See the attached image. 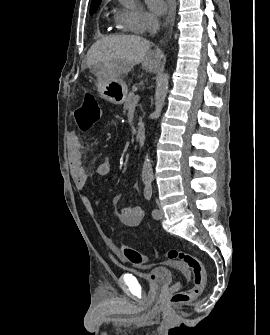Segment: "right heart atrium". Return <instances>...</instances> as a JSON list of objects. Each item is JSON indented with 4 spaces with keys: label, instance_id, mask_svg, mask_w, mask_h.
<instances>
[{
    "label": "right heart atrium",
    "instance_id": "1",
    "mask_svg": "<svg viewBox=\"0 0 270 335\" xmlns=\"http://www.w3.org/2000/svg\"><path fill=\"white\" fill-rule=\"evenodd\" d=\"M121 26L128 31L146 34L145 25H156L153 17L140 5L121 8L117 13Z\"/></svg>",
    "mask_w": 270,
    "mask_h": 335
}]
</instances>
